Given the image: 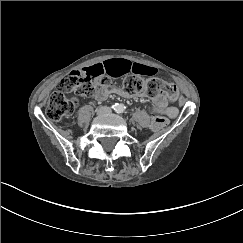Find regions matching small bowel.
<instances>
[{
    "label": "small bowel",
    "instance_id": "1",
    "mask_svg": "<svg viewBox=\"0 0 243 243\" xmlns=\"http://www.w3.org/2000/svg\"><path fill=\"white\" fill-rule=\"evenodd\" d=\"M84 73L89 74H107L112 77H120L127 73H135L139 75H154L156 69L140 63H134L126 59H115L98 63L85 69ZM113 92L124 96L125 94L120 89H113ZM109 91L100 90L96 93L97 100L106 99ZM154 111L164 114L170 118H175L178 115V109L170 106L164 97H158L154 100Z\"/></svg>",
    "mask_w": 243,
    "mask_h": 243
}]
</instances>
